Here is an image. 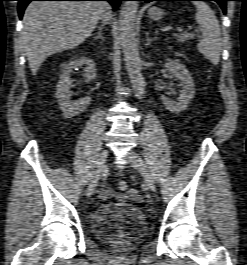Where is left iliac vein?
Returning a JSON list of instances; mask_svg holds the SVG:
<instances>
[{
	"label": "left iliac vein",
	"instance_id": "obj_1",
	"mask_svg": "<svg viewBox=\"0 0 247 265\" xmlns=\"http://www.w3.org/2000/svg\"><path fill=\"white\" fill-rule=\"evenodd\" d=\"M128 156H129L132 166L143 176L146 185L152 191H155L156 185H155L154 178L151 172L149 171L148 167L146 166V164L143 162V160L138 156V154H136L133 151H130Z\"/></svg>",
	"mask_w": 247,
	"mask_h": 265
}]
</instances>
